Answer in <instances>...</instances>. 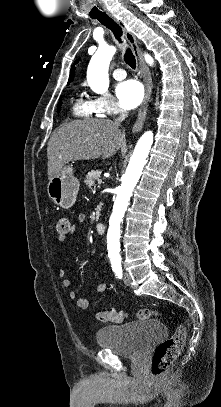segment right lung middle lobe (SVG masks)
I'll use <instances>...</instances> for the list:
<instances>
[{
  "instance_id": "right-lung-middle-lobe-1",
  "label": "right lung middle lobe",
  "mask_w": 221,
  "mask_h": 407,
  "mask_svg": "<svg viewBox=\"0 0 221 407\" xmlns=\"http://www.w3.org/2000/svg\"><path fill=\"white\" fill-rule=\"evenodd\" d=\"M60 106H61V101L58 104V112H59Z\"/></svg>"
}]
</instances>
